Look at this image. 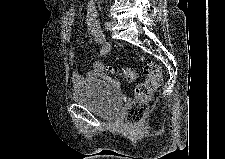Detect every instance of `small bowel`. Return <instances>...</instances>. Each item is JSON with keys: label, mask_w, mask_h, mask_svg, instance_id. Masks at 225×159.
<instances>
[{"label": "small bowel", "mask_w": 225, "mask_h": 159, "mask_svg": "<svg viewBox=\"0 0 225 159\" xmlns=\"http://www.w3.org/2000/svg\"><path fill=\"white\" fill-rule=\"evenodd\" d=\"M76 8L71 7L65 15V37L71 41L74 37V24L76 20ZM85 25L89 33L92 35L96 45L99 47L98 56H106L111 50V44L105 39L102 29L99 24L97 7L93 1H88L85 10ZM70 61L73 62L75 58L74 48L69 50ZM104 65L100 60H94L91 63L90 69L82 74L78 70H74L71 75L72 82L75 85H81L86 81H92L97 78H106Z\"/></svg>", "instance_id": "small-bowel-1"}]
</instances>
